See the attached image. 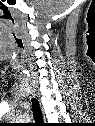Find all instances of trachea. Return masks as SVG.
I'll use <instances>...</instances> for the list:
<instances>
[{"instance_id":"1","label":"trachea","mask_w":95,"mask_h":126,"mask_svg":"<svg viewBox=\"0 0 95 126\" xmlns=\"http://www.w3.org/2000/svg\"><path fill=\"white\" fill-rule=\"evenodd\" d=\"M32 111H33L35 124L37 125L43 124L41 108H40L38 100L36 99H32Z\"/></svg>"}]
</instances>
